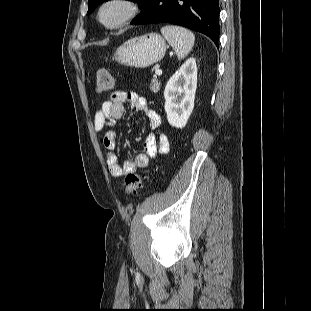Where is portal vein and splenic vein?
Masks as SVG:
<instances>
[{
	"label": "portal vein and splenic vein",
	"mask_w": 311,
	"mask_h": 311,
	"mask_svg": "<svg viewBox=\"0 0 311 311\" xmlns=\"http://www.w3.org/2000/svg\"><path fill=\"white\" fill-rule=\"evenodd\" d=\"M155 74L160 76L162 75V70L161 69H156Z\"/></svg>",
	"instance_id": "18ae733b"
}]
</instances>
